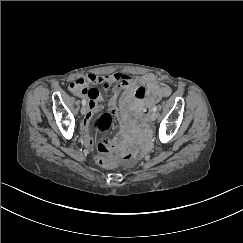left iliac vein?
I'll use <instances>...</instances> for the list:
<instances>
[{"label":"left iliac vein","mask_w":243,"mask_h":243,"mask_svg":"<svg viewBox=\"0 0 243 243\" xmlns=\"http://www.w3.org/2000/svg\"><path fill=\"white\" fill-rule=\"evenodd\" d=\"M156 118H157V113H156V112H152V113L150 114V120H151V121H154V120H156Z\"/></svg>","instance_id":"4c4485c4"}]
</instances>
